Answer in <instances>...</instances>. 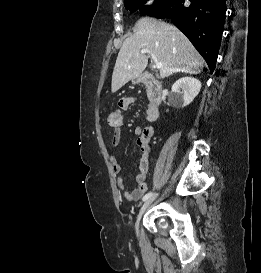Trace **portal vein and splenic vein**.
Instances as JSON below:
<instances>
[{
  "mask_svg": "<svg viewBox=\"0 0 261 273\" xmlns=\"http://www.w3.org/2000/svg\"><path fill=\"white\" fill-rule=\"evenodd\" d=\"M140 53H141V54L149 53V54L151 55L152 60L155 62L154 67L157 68V69H161V68H162V63L159 62V61L156 59L155 55H154L149 49L143 48V49H141Z\"/></svg>",
  "mask_w": 261,
  "mask_h": 273,
  "instance_id": "obj_1",
  "label": "portal vein and splenic vein"
}]
</instances>
